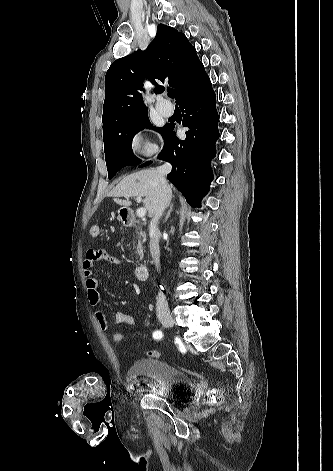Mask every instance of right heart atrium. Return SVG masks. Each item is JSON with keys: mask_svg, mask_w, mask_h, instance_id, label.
<instances>
[{"mask_svg": "<svg viewBox=\"0 0 333 471\" xmlns=\"http://www.w3.org/2000/svg\"><path fill=\"white\" fill-rule=\"evenodd\" d=\"M130 147L135 152L151 154L155 151V146L147 141L142 134L135 133L130 140Z\"/></svg>", "mask_w": 333, "mask_h": 471, "instance_id": "right-heart-atrium-1", "label": "right heart atrium"}]
</instances>
